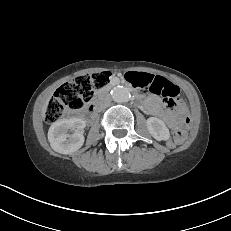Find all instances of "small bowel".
I'll list each match as a JSON object with an SVG mask.
<instances>
[{
  "label": "small bowel",
  "instance_id": "small-bowel-1",
  "mask_svg": "<svg viewBox=\"0 0 231 231\" xmlns=\"http://www.w3.org/2000/svg\"><path fill=\"white\" fill-rule=\"evenodd\" d=\"M138 75L140 79L135 80L132 76ZM127 80L139 89H146L151 92L146 97L144 109L151 115L163 117L169 125L176 122L175 116L171 112L173 106L172 100L163 95L164 90L168 86H174L166 77L149 73V72H129ZM159 96H162L161 99ZM184 106H181V111H184Z\"/></svg>",
  "mask_w": 231,
  "mask_h": 231
}]
</instances>
